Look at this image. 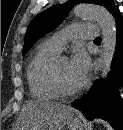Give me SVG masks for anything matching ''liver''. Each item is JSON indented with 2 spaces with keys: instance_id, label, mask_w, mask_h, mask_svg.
I'll use <instances>...</instances> for the list:
<instances>
[{
  "instance_id": "obj_1",
  "label": "liver",
  "mask_w": 123,
  "mask_h": 130,
  "mask_svg": "<svg viewBox=\"0 0 123 130\" xmlns=\"http://www.w3.org/2000/svg\"><path fill=\"white\" fill-rule=\"evenodd\" d=\"M74 115L73 108L56 103L28 101L18 118V130H61Z\"/></svg>"
}]
</instances>
